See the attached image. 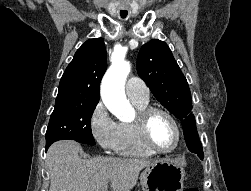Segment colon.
<instances>
[{
    "mask_svg": "<svg viewBox=\"0 0 251 191\" xmlns=\"http://www.w3.org/2000/svg\"><path fill=\"white\" fill-rule=\"evenodd\" d=\"M187 191H198V189L195 187H191V188H188Z\"/></svg>",
    "mask_w": 251,
    "mask_h": 191,
    "instance_id": "colon-1",
    "label": "colon"
}]
</instances>
